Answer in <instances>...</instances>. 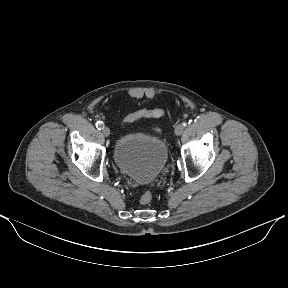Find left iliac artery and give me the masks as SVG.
Returning <instances> with one entry per match:
<instances>
[{
	"label": "left iliac artery",
	"instance_id": "1",
	"mask_svg": "<svg viewBox=\"0 0 288 288\" xmlns=\"http://www.w3.org/2000/svg\"><path fill=\"white\" fill-rule=\"evenodd\" d=\"M182 125H183V127H186V126H187V123H186V122H184V123H182Z\"/></svg>",
	"mask_w": 288,
	"mask_h": 288
}]
</instances>
